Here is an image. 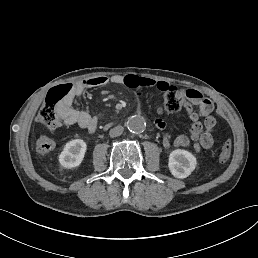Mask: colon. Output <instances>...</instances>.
<instances>
[{
    "label": "colon",
    "instance_id": "colon-1",
    "mask_svg": "<svg viewBox=\"0 0 258 258\" xmlns=\"http://www.w3.org/2000/svg\"><path fill=\"white\" fill-rule=\"evenodd\" d=\"M74 92L75 87L72 83L61 84L48 91L38 114V121L46 130L55 132L61 127L62 118L59 109L73 98ZM185 98V91L175 86H169L164 92L163 107L167 112H176L183 107ZM231 151V141L226 140L219 152V161L227 162L231 156Z\"/></svg>",
    "mask_w": 258,
    "mask_h": 258
}]
</instances>
